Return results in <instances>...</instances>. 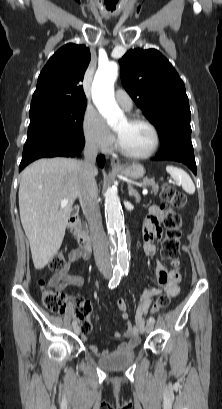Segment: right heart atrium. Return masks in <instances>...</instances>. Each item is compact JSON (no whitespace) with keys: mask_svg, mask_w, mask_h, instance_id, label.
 Returning a JSON list of instances; mask_svg holds the SVG:
<instances>
[{"mask_svg":"<svg viewBox=\"0 0 222 409\" xmlns=\"http://www.w3.org/2000/svg\"><path fill=\"white\" fill-rule=\"evenodd\" d=\"M82 131L87 144L108 153L114 146V138L101 115L92 107H87L82 119Z\"/></svg>","mask_w":222,"mask_h":409,"instance_id":"1","label":"right heart atrium"}]
</instances>
